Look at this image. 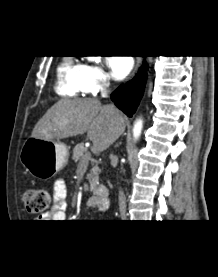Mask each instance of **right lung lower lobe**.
<instances>
[{
    "instance_id": "right-lung-lower-lobe-1",
    "label": "right lung lower lobe",
    "mask_w": 218,
    "mask_h": 277,
    "mask_svg": "<svg viewBox=\"0 0 218 277\" xmlns=\"http://www.w3.org/2000/svg\"><path fill=\"white\" fill-rule=\"evenodd\" d=\"M147 66L145 62L138 74L125 85L118 87L112 94L111 98L115 105L128 116L135 112L143 95L146 82Z\"/></svg>"
}]
</instances>
